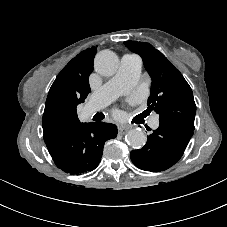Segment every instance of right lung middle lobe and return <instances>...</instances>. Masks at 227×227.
Returning <instances> with one entry per match:
<instances>
[{"label": "right lung middle lobe", "mask_w": 227, "mask_h": 227, "mask_svg": "<svg viewBox=\"0 0 227 227\" xmlns=\"http://www.w3.org/2000/svg\"><path fill=\"white\" fill-rule=\"evenodd\" d=\"M75 110L64 106H58L51 113V120L54 124L64 126L69 124L75 117Z\"/></svg>", "instance_id": "right-lung-middle-lobe-1"}]
</instances>
